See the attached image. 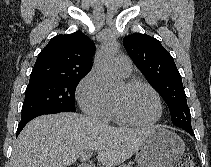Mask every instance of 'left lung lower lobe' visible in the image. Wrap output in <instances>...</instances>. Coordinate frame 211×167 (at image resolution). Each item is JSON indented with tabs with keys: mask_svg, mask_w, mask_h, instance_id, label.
Instances as JSON below:
<instances>
[{
	"mask_svg": "<svg viewBox=\"0 0 211 167\" xmlns=\"http://www.w3.org/2000/svg\"><path fill=\"white\" fill-rule=\"evenodd\" d=\"M183 130H185L186 132H188L190 135L195 136L194 133H193L192 128L183 129Z\"/></svg>",
	"mask_w": 211,
	"mask_h": 167,
	"instance_id": "obj_1",
	"label": "left lung lower lobe"
}]
</instances>
